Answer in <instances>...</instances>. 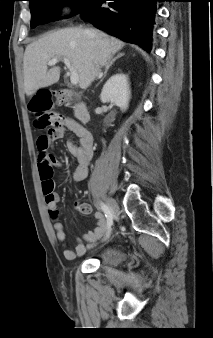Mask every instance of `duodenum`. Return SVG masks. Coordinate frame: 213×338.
Instances as JSON below:
<instances>
[{
	"instance_id": "duodenum-1",
	"label": "duodenum",
	"mask_w": 213,
	"mask_h": 338,
	"mask_svg": "<svg viewBox=\"0 0 213 338\" xmlns=\"http://www.w3.org/2000/svg\"><path fill=\"white\" fill-rule=\"evenodd\" d=\"M66 94L72 95V92L67 91ZM74 110L75 115L80 122L88 124L91 121L90 112L88 111V108L86 107L85 104L81 102H76L74 105Z\"/></svg>"
}]
</instances>
